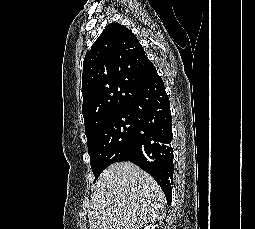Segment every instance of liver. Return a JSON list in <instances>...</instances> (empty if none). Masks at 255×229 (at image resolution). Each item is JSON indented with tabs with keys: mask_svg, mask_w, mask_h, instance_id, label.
I'll return each instance as SVG.
<instances>
[{
	"mask_svg": "<svg viewBox=\"0 0 255 229\" xmlns=\"http://www.w3.org/2000/svg\"><path fill=\"white\" fill-rule=\"evenodd\" d=\"M90 229H139L159 219L165 197L157 182L132 162L106 168L95 183Z\"/></svg>",
	"mask_w": 255,
	"mask_h": 229,
	"instance_id": "6515ba94",
	"label": "liver"
}]
</instances>
